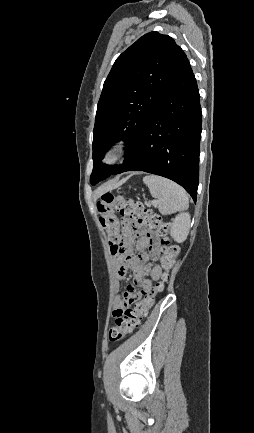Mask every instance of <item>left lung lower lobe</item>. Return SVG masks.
<instances>
[{
	"label": "left lung lower lobe",
	"instance_id": "1",
	"mask_svg": "<svg viewBox=\"0 0 254 433\" xmlns=\"http://www.w3.org/2000/svg\"><path fill=\"white\" fill-rule=\"evenodd\" d=\"M202 114L188 59L145 124L132 152L113 174L144 171L169 178L196 201Z\"/></svg>",
	"mask_w": 254,
	"mask_h": 433
}]
</instances>
